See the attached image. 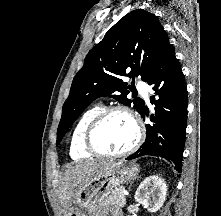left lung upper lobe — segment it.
<instances>
[{"mask_svg":"<svg viewBox=\"0 0 221 216\" xmlns=\"http://www.w3.org/2000/svg\"><path fill=\"white\" fill-rule=\"evenodd\" d=\"M168 43L158 18L143 9L128 13L109 29L87 54L84 66L74 77L63 105L57 144L85 108L100 96H111L124 105H133L140 113L144 101L127 98L134 90V83L128 85L123 78L140 75L146 81Z\"/></svg>","mask_w":221,"mask_h":216,"instance_id":"5c2ea615","label":"left lung upper lobe"}]
</instances>
